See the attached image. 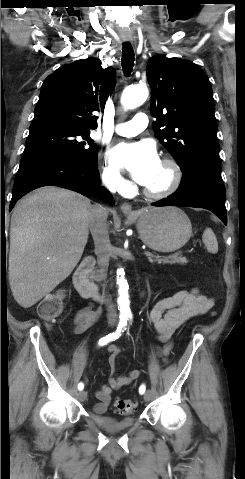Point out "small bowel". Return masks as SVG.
<instances>
[{"mask_svg":"<svg viewBox=\"0 0 245 479\" xmlns=\"http://www.w3.org/2000/svg\"><path fill=\"white\" fill-rule=\"evenodd\" d=\"M213 305V299L201 294L197 289L181 290L175 294L159 300L149 311L148 320L153 325L157 339L162 343L160 354L166 357L172 348V334L191 318L206 313ZM99 318V311L92 307H84L79 310L73 320L72 331L75 334L84 332ZM110 353L109 365L112 372L115 369L116 357L119 354L118 346L112 344L107 347ZM140 376L137 369L130 370L126 375L111 376L107 384H104L96 393L97 403L93 406L95 414H103L111 401V394L131 384ZM85 382L87 379L83 377Z\"/></svg>","mask_w":245,"mask_h":479,"instance_id":"obj_1","label":"small bowel"}]
</instances>
